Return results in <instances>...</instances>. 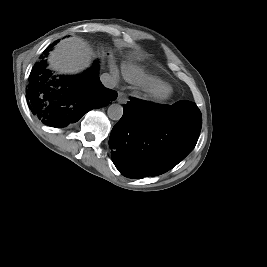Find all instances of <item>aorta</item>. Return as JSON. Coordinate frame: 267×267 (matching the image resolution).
Wrapping results in <instances>:
<instances>
[{"instance_id":"obj_1","label":"aorta","mask_w":267,"mask_h":267,"mask_svg":"<svg viewBox=\"0 0 267 267\" xmlns=\"http://www.w3.org/2000/svg\"><path fill=\"white\" fill-rule=\"evenodd\" d=\"M107 115L112 120H120L123 115V107L120 104H112L108 107Z\"/></svg>"}]
</instances>
